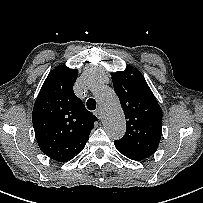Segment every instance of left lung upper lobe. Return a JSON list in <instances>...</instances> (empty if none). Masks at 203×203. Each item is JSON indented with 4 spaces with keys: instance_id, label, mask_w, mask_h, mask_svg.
Here are the masks:
<instances>
[{
    "instance_id": "5c2ea615",
    "label": "left lung upper lobe",
    "mask_w": 203,
    "mask_h": 203,
    "mask_svg": "<svg viewBox=\"0 0 203 203\" xmlns=\"http://www.w3.org/2000/svg\"><path fill=\"white\" fill-rule=\"evenodd\" d=\"M112 81L127 119L125 135L115 142L148 157L161 139L162 109L139 70L113 73Z\"/></svg>"
}]
</instances>
